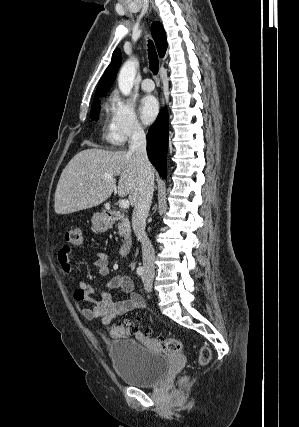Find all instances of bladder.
<instances>
[{
    "label": "bladder",
    "instance_id": "bladder-1",
    "mask_svg": "<svg viewBox=\"0 0 299 427\" xmlns=\"http://www.w3.org/2000/svg\"><path fill=\"white\" fill-rule=\"evenodd\" d=\"M109 356L121 380L135 387H152L163 380L169 369L167 356L150 351L133 339L110 343Z\"/></svg>",
    "mask_w": 299,
    "mask_h": 427
}]
</instances>
